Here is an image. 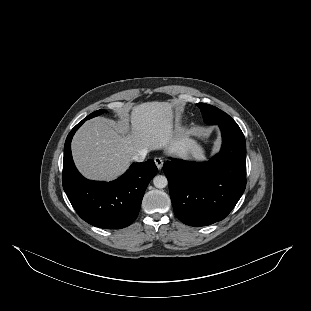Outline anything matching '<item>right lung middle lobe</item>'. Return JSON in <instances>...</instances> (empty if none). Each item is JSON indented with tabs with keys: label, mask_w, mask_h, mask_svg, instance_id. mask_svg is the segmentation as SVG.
<instances>
[{
	"label": "right lung middle lobe",
	"mask_w": 311,
	"mask_h": 311,
	"mask_svg": "<svg viewBox=\"0 0 311 311\" xmlns=\"http://www.w3.org/2000/svg\"><path fill=\"white\" fill-rule=\"evenodd\" d=\"M104 112H105L104 110L95 111V112L91 113L90 115H88L84 120H88V119L93 118L95 116H98Z\"/></svg>",
	"instance_id": "dd1d6c3e"
}]
</instances>
